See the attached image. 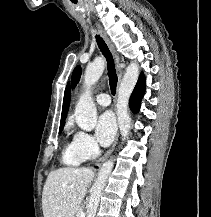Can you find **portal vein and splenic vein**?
Masks as SVG:
<instances>
[{"label": "portal vein and splenic vein", "mask_w": 211, "mask_h": 217, "mask_svg": "<svg viewBox=\"0 0 211 217\" xmlns=\"http://www.w3.org/2000/svg\"><path fill=\"white\" fill-rule=\"evenodd\" d=\"M79 217H84V214H81Z\"/></svg>", "instance_id": "portal-vein-and-splenic-vein-1"}]
</instances>
